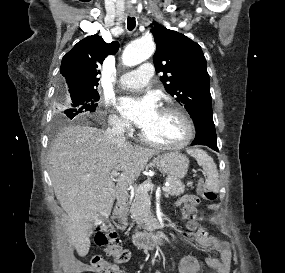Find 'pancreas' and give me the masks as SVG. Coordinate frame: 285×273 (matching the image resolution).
Here are the masks:
<instances>
[{"instance_id": "pancreas-1", "label": "pancreas", "mask_w": 285, "mask_h": 273, "mask_svg": "<svg viewBox=\"0 0 285 273\" xmlns=\"http://www.w3.org/2000/svg\"><path fill=\"white\" fill-rule=\"evenodd\" d=\"M166 181L169 183L170 191L167 194L171 196H180L185 190V185L181 180H176L168 177ZM150 183V182H149ZM188 186H192V182L187 183ZM150 210V198L146 191H142L139 188L135 190L134 199L131 203L130 213L138 224L145 222L146 213Z\"/></svg>"}]
</instances>
